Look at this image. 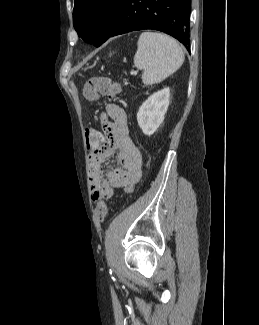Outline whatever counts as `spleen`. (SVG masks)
<instances>
[{
	"label": "spleen",
	"mask_w": 259,
	"mask_h": 325,
	"mask_svg": "<svg viewBox=\"0 0 259 325\" xmlns=\"http://www.w3.org/2000/svg\"><path fill=\"white\" fill-rule=\"evenodd\" d=\"M134 65L143 70L145 85L160 83L177 71L184 62V53L172 37L158 32H143L137 42Z\"/></svg>",
	"instance_id": "1"
}]
</instances>
